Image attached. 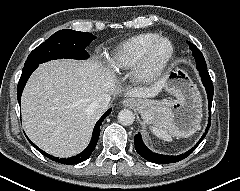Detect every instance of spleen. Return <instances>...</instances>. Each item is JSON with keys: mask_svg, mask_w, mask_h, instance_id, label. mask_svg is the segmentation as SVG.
I'll list each match as a JSON object with an SVG mask.
<instances>
[{"mask_svg": "<svg viewBox=\"0 0 240 191\" xmlns=\"http://www.w3.org/2000/svg\"><path fill=\"white\" fill-rule=\"evenodd\" d=\"M151 132L157 136L158 138H161L164 141H172V136L177 137H189L193 133L196 132V130L199 129V126L191 131H181L178 130L174 123L171 120V116L166 112L160 113L158 116H156L152 122H151Z\"/></svg>", "mask_w": 240, "mask_h": 191, "instance_id": "3e777b00", "label": "spleen"}]
</instances>
